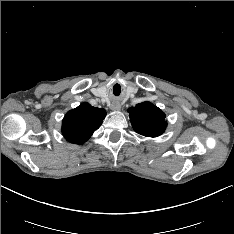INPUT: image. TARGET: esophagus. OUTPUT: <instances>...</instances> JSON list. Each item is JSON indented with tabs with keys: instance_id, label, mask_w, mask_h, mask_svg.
<instances>
[{
	"instance_id": "1",
	"label": "esophagus",
	"mask_w": 234,
	"mask_h": 234,
	"mask_svg": "<svg viewBox=\"0 0 234 234\" xmlns=\"http://www.w3.org/2000/svg\"><path fill=\"white\" fill-rule=\"evenodd\" d=\"M120 108H121V106L119 104H117V103H114V104L111 105L112 110H120Z\"/></svg>"
}]
</instances>
